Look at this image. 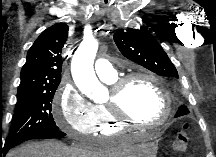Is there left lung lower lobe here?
<instances>
[{
	"instance_id": "left-lung-lower-lobe-1",
	"label": "left lung lower lobe",
	"mask_w": 216,
	"mask_h": 157,
	"mask_svg": "<svg viewBox=\"0 0 216 157\" xmlns=\"http://www.w3.org/2000/svg\"><path fill=\"white\" fill-rule=\"evenodd\" d=\"M183 107H185V106H181L180 108H179V110L177 111V113H176V117H178V116H181V115H185V114H187V113H185V112H181L180 110H181V108H183Z\"/></svg>"
}]
</instances>
